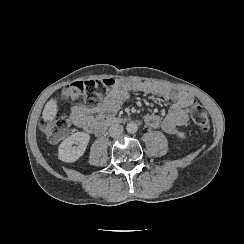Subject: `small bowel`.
Masks as SVG:
<instances>
[{
  "instance_id": "1",
  "label": "small bowel",
  "mask_w": 244,
  "mask_h": 244,
  "mask_svg": "<svg viewBox=\"0 0 244 244\" xmlns=\"http://www.w3.org/2000/svg\"><path fill=\"white\" fill-rule=\"evenodd\" d=\"M138 92L154 93L172 102L163 118L154 113H148L144 117V121L148 126L152 128L161 126L170 135L177 134L179 127L188 121L191 108L196 102L194 95L182 88L122 79L117 80L97 104L77 103L72 106V122L83 131L92 135H101L122 103L129 99L132 94Z\"/></svg>"
}]
</instances>
